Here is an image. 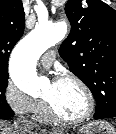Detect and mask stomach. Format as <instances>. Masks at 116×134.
<instances>
[{
	"label": "stomach",
	"instance_id": "0dacf381",
	"mask_svg": "<svg viewBox=\"0 0 116 134\" xmlns=\"http://www.w3.org/2000/svg\"><path fill=\"white\" fill-rule=\"evenodd\" d=\"M68 134V133H60ZM80 134H116L111 124L105 121H92L81 129Z\"/></svg>",
	"mask_w": 116,
	"mask_h": 134
}]
</instances>
